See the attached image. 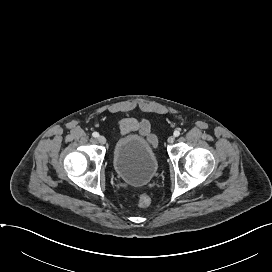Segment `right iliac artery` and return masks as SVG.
I'll return each mask as SVG.
<instances>
[{
	"label": "right iliac artery",
	"instance_id": "82829eb1",
	"mask_svg": "<svg viewBox=\"0 0 272 272\" xmlns=\"http://www.w3.org/2000/svg\"><path fill=\"white\" fill-rule=\"evenodd\" d=\"M92 135H93V137H95V138L99 137V133H98V132H94Z\"/></svg>",
	"mask_w": 272,
	"mask_h": 272
}]
</instances>
